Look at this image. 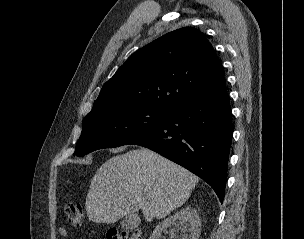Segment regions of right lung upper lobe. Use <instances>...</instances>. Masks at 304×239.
I'll list each match as a JSON object with an SVG mask.
<instances>
[{"instance_id": "right-lung-upper-lobe-1", "label": "right lung upper lobe", "mask_w": 304, "mask_h": 239, "mask_svg": "<svg viewBox=\"0 0 304 239\" xmlns=\"http://www.w3.org/2000/svg\"><path fill=\"white\" fill-rule=\"evenodd\" d=\"M223 79L221 62L204 34L180 28L135 52L103 85L86 117L128 107L170 112L208 93Z\"/></svg>"}]
</instances>
